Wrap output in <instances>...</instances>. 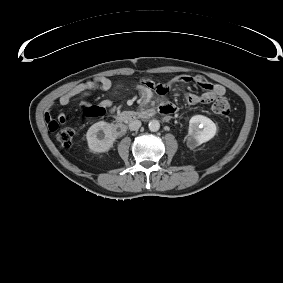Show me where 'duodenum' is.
<instances>
[{"label": "duodenum", "instance_id": "410a0bca", "mask_svg": "<svg viewBox=\"0 0 283 283\" xmlns=\"http://www.w3.org/2000/svg\"><path fill=\"white\" fill-rule=\"evenodd\" d=\"M161 112V110H159ZM174 108L167 109L166 113L171 114L173 113ZM154 109H144L141 111H127L119 114L116 119V124L120 128H124L125 124L130 121L140 120V119H150L155 115Z\"/></svg>", "mask_w": 283, "mask_h": 283}]
</instances>
